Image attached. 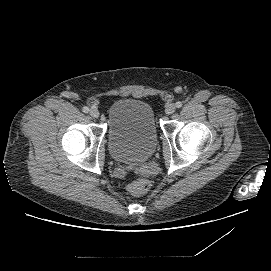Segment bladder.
Instances as JSON below:
<instances>
[{"mask_svg": "<svg viewBox=\"0 0 271 271\" xmlns=\"http://www.w3.org/2000/svg\"><path fill=\"white\" fill-rule=\"evenodd\" d=\"M108 146L113 159L122 163H143L157 145L152 107L136 99H121L108 110Z\"/></svg>", "mask_w": 271, "mask_h": 271, "instance_id": "obj_1", "label": "bladder"}]
</instances>
